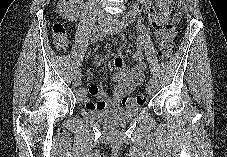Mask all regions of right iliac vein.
Here are the masks:
<instances>
[{
	"instance_id": "1",
	"label": "right iliac vein",
	"mask_w": 227,
	"mask_h": 157,
	"mask_svg": "<svg viewBox=\"0 0 227 157\" xmlns=\"http://www.w3.org/2000/svg\"><path fill=\"white\" fill-rule=\"evenodd\" d=\"M73 86L74 87H77L80 85L81 83V77H80V74H75L74 77H73Z\"/></svg>"
}]
</instances>
